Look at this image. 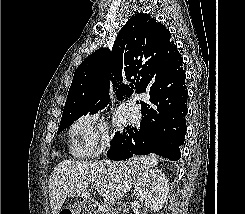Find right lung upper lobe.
<instances>
[{
    "mask_svg": "<svg viewBox=\"0 0 245 214\" xmlns=\"http://www.w3.org/2000/svg\"><path fill=\"white\" fill-rule=\"evenodd\" d=\"M182 63L169 30L149 14L138 13L119 31L112 51L96 50L75 70L63 114L104 108L110 80L120 100L133 89L145 92L150 74L161 68L169 70L173 79L183 78ZM126 80L132 82L131 88Z\"/></svg>",
    "mask_w": 245,
    "mask_h": 214,
    "instance_id": "cb5924a9",
    "label": "right lung upper lobe"
}]
</instances>
